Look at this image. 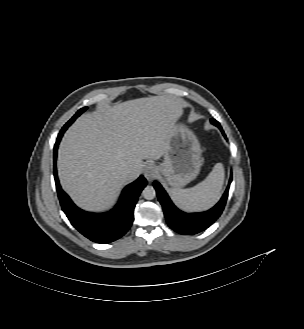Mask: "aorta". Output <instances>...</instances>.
<instances>
[{
  "label": "aorta",
  "mask_w": 304,
  "mask_h": 329,
  "mask_svg": "<svg viewBox=\"0 0 304 329\" xmlns=\"http://www.w3.org/2000/svg\"><path fill=\"white\" fill-rule=\"evenodd\" d=\"M142 196L147 200H152L156 196L155 189L152 186H146L142 191Z\"/></svg>",
  "instance_id": "762f6f07"
}]
</instances>
